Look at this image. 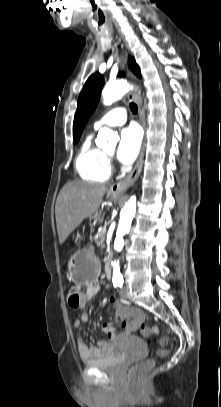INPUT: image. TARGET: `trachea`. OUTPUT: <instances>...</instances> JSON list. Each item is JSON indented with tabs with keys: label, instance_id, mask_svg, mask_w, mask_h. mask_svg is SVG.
I'll list each match as a JSON object with an SVG mask.
<instances>
[{
	"label": "trachea",
	"instance_id": "3493384b",
	"mask_svg": "<svg viewBox=\"0 0 221 407\" xmlns=\"http://www.w3.org/2000/svg\"><path fill=\"white\" fill-rule=\"evenodd\" d=\"M129 106H130V109H131V111H132L133 114H137V113H138V107H137L136 104L130 103Z\"/></svg>",
	"mask_w": 221,
	"mask_h": 407
}]
</instances>
